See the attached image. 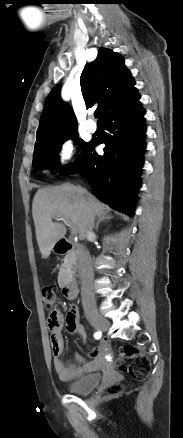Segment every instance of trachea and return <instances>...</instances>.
<instances>
[{
    "mask_svg": "<svg viewBox=\"0 0 183 438\" xmlns=\"http://www.w3.org/2000/svg\"><path fill=\"white\" fill-rule=\"evenodd\" d=\"M98 111H96V112H94V116H95V118H97L98 117Z\"/></svg>",
    "mask_w": 183,
    "mask_h": 438,
    "instance_id": "1",
    "label": "trachea"
}]
</instances>
